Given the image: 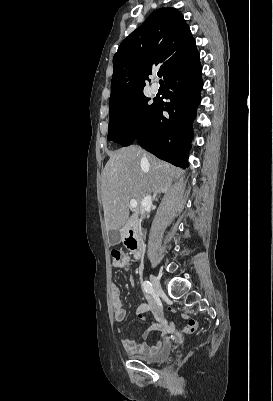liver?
Listing matches in <instances>:
<instances>
[{
  "instance_id": "6515ba94",
  "label": "liver",
  "mask_w": 273,
  "mask_h": 401,
  "mask_svg": "<svg viewBox=\"0 0 273 401\" xmlns=\"http://www.w3.org/2000/svg\"><path fill=\"white\" fill-rule=\"evenodd\" d=\"M109 156L101 178L106 231H117L127 223L131 198L138 203L133 215V219H138L144 196L148 192H167L172 178L183 172L137 144L119 148Z\"/></svg>"
}]
</instances>
